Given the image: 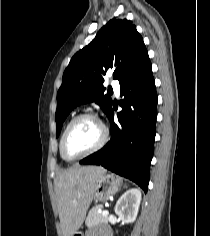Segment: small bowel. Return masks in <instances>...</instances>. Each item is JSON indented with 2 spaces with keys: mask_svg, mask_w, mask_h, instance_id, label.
<instances>
[{
  "mask_svg": "<svg viewBox=\"0 0 210 236\" xmlns=\"http://www.w3.org/2000/svg\"><path fill=\"white\" fill-rule=\"evenodd\" d=\"M87 236H111V233L108 229H102L99 232L91 231Z\"/></svg>",
  "mask_w": 210,
  "mask_h": 236,
  "instance_id": "obj_1",
  "label": "small bowel"
}]
</instances>
